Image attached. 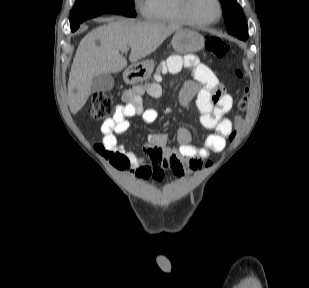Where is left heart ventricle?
I'll return each mask as SVG.
<instances>
[{"label":"left heart ventricle","mask_w":309,"mask_h":288,"mask_svg":"<svg viewBox=\"0 0 309 288\" xmlns=\"http://www.w3.org/2000/svg\"><path fill=\"white\" fill-rule=\"evenodd\" d=\"M191 10L200 21H213L218 17L216 0H191Z\"/></svg>","instance_id":"b2bd125f"}]
</instances>
